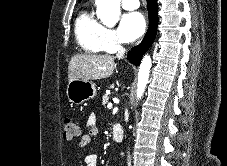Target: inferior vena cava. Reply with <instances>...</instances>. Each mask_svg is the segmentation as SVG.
<instances>
[{"instance_id": "1", "label": "inferior vena cava", "mask_w": 227, "mask_h": 166, "mask_svg": "<svg viewBox=\"0 0 227 166\" xmlns=\"http://www.w3.org/2000/svg\"><path fill=\"white\" fill-rule=\"evenodd\" d=\"M125 51H126V49L123 46L119 45L116 57L118 59H122L124 57ZM127 165L131 166V156H130L129 152H128V156H127Z\"/></svg>"}]
</instances>
